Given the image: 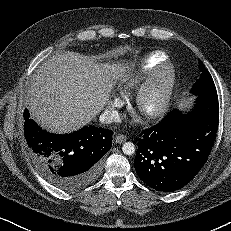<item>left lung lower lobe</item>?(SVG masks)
Returning <instances> with one entry per match:
<instances>
[{
  "mask_svg": "<svg viewBox=\"0 0 231 231\" xmlns=\"http://www.w3.org/2000/svg\"><path fill=\"white\" fill-rule=\"evenodd\" d=\"M219 121L217 94L198 96L191 112L168 113L139 140L134 166L153 189L171 192L188 184L205 164Z\"/></svg>",
  "mask_w": 231,
  "mask_h": 231,
  "instance_id": "1",
  "label": "left lung lower lobe"
}]
</instances>
